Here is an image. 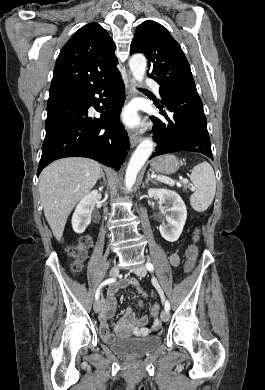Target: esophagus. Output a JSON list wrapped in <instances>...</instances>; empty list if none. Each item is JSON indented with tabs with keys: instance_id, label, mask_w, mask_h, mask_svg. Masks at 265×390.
I'll return each instance as SVG.
<instances>
[{
	"instance_id": "34e87169",
	"label": "esophagus",
	"mask_w": 265,
	"mask_h": 390,
	"mask_svg": "<svg viewBox=\"0 0 265 390\" xmlns=\"http://www.w3.org/2000/svg\"><path fill=\"white\" fill-rule=\"evenodd\" d=\"M128 89H129V95H128L129 98H132L135 95H137L136 82L135 79L131 76H129L128 79ZM129 138L132 146L137 145L142 140V136L135 131L129 132Z\"/></svg>"
}]
</instances>
